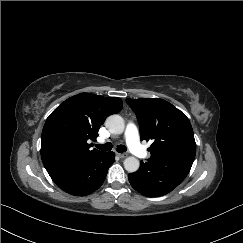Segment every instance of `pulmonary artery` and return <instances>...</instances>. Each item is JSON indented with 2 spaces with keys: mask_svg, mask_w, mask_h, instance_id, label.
I'll return each mask as SVG.
<instances>
[{
  "mask_svg": "<svg viewBox=\"0 0 243 243\" xmlns=\"http://www.w3.org/2000/svg\"><path fill=\"white\" fill-rule=\"evenodd\" d=\"M126 143L131 151L140 158L147 156L146 151L140 144L139 140V131L137 126L134 123H128L124 132ZM103 140H99V143H102Z\"/></svg>",
  "mask_w": 243,
  "mask_h": 243,
  "instance_id": "obj_1",
  "label": "pulmonary artery"
}]
</instances>
